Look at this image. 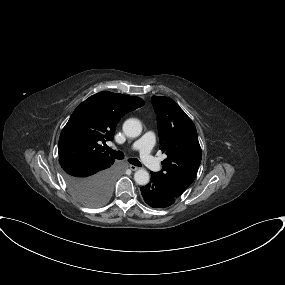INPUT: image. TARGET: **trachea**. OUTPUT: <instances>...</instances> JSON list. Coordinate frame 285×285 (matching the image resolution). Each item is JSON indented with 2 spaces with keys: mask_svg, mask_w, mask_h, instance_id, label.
<instances>
[{
  "mask_svg": "<svg viewBox=\"0 0 285 285\" xmlns=\"http://www.w3.org/2000/svg\"><path fill=\"white\" fill-rule=\"evenodd\" d=\"M104 149L107 150L113 158H116V159H124V154H123L121 151L113 150V149H111V148L108 147V146H104ZM128 161H129V163H131L132 165L141 166V163H140L139 160L136 159V158H130V159H128Z\"/></svg>",
  "mask_w": 285,
  "mask_h": 285,
  "instance_id": "3493384b",
  "label": "trachea"
}]
</instances>
